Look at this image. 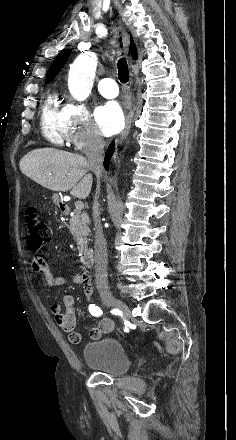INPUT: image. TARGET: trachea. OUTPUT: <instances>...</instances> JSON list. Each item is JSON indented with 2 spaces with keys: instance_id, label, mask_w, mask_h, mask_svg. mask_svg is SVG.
I'll list each match as a JSON object with an SVG mask.
<instances>
[{
  "instance_id": "3493384b",
  "label": "trachea",
  "mask_w": 236,
  "mask_h": 440,
  "mask_svg": "<svg viewBox=\"0 0 236 440\" xmlns=\"http://www.w3.org/2000/svg\"><path fill=\"white\" fill-rule=\"evenodd\" d=\"M118 78L122 83L129 81V69L127 61L124 57L120 58L118 63Z\"/></svg>"
}]
</instances>
